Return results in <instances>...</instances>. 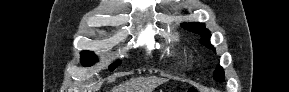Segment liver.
Wrapping results in <instances>:
<instances>
[{"label": "liver", "instance_id": "liver-1", "mask_svg": "<svg viewBox=\"0 0 289 92\" xmlns=\"http://www.w3.org/2000/svg\"><path fill=\"white\" fill-rule=\"evenodd\" d=\"M168 79L162 77H142L119 85L112 92H152L157 86L166 83Z\"/></svg>", "mask_w": 289, "mask_h": 92}]
</instances>
